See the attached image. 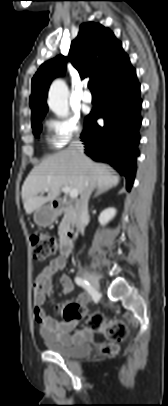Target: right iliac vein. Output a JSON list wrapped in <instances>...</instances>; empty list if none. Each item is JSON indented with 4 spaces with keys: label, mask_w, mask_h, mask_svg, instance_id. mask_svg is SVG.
Listing matches in <instances>:
<instances>
[{
    "label": "right iliac vein",
    "mask_w": 168,
    "mask_h": 406,
    "mask_svg": "<svg viewBox=\"0 0 168 406\" xmlns=\"http://www.w3.org/2000/svg\"><path fill=\"white\" fill-rule=\"evenodd\" d=\"M83 277L85 280H87L91 286L93 287L94 290L99 291V282L98 279L91 273H89L88 271H84L83 272Z\"/></svg>",
    "instance_id": "obj_1"
}]
</instances>
